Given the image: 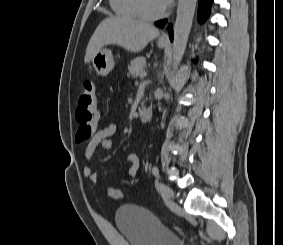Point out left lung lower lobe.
<instances>
[{
    "label": "left lung lower lobe",
    "instance_id": "obj_1",
    "mask_svg": "<svg viewBox=\"0 0 283 245\" xmlns=\"http://www.w3.org/2000/svg\"><path fill=\"white\" fill-rule=\"evenodd\" d=\"M213 0H199V14H198V19L199 21H203L205 20L210 12V6ZM167 22V20H162V21H158L155 24L159 27L163 26L165 23ZM169 31H170V39L172 40V31L171 28L169 27Z\"/></svg>",
    "mask_w": 283,
    "mask_h": 245
}]
</instances>
